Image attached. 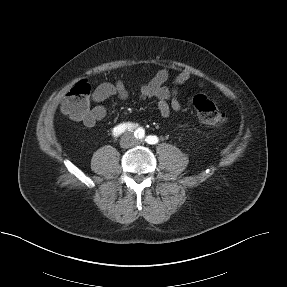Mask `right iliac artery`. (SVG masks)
I'll use <instances>...</instances> for the list:
<instances>
[{
	"label": "right iliac artery",
	"mask_w": 287,
	"mask_h": 287,
	"mask_svg": "<svg viewBox=\"0 0 287 287\" xmlns=\"http://www.w3.org/2000/svg\"><path fill=\"white\" fill-rule=\"evenodd\" d=\"M134 128H136V126L131 123L119 124L113 129V135L114 137H118L119 135L124 133L127 129L128 131H133ZM134 135L136 138L142 139L145 135V131L142 128H138L135 130Z\"/></svg>",
	"instance_id": "82829eb1"
}]
</instances>
